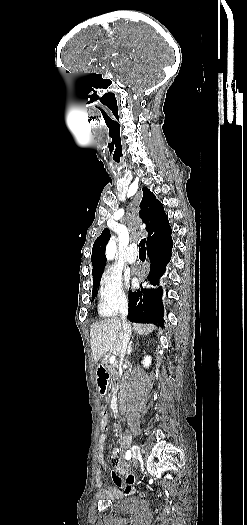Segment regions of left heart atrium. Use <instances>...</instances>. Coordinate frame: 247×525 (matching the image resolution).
I'll return each instance as SVG.
<instances>
[{
    "label": "left heart atrium",
    "instance_id": "39dd6f15",
    "mask_svg": "<svg viewBox=\"0 0 247 525\" xmlns=\"http://www.w3.org/2000/svg\"><path fill=\"white\" fill-rule=\"evenodd\" d=\"M145 275V272H129L128 274V281L129 280H132V281H137V280H141Z\"/></svg>",
    "mask_w": 247,
    "mask_h": 525
}]
</instances>
